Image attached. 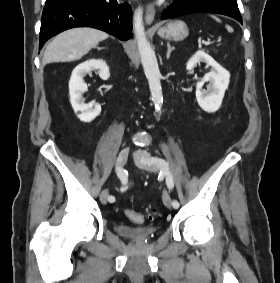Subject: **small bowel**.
<instances>
[{"label": "small bowel", "mask_w": 280, "mask_h": 283, "mask_svg": "<svg viewBox=\"0 0 280 283\" xmlns=\"http://www.w3.org/2000/svg\"><path fill=\"white\" fill-rule=\"evenodd\" d=\"M128 188H129V186L124 185V186L121 187V190H122V191H126Z\"/></svg>", "instance_id": "1"}]
</instances>
